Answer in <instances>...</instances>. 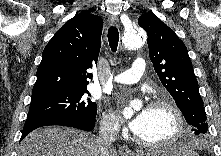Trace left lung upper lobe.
I'll return each mask as SVG.
<instances>
[{
    "label": "left lung upper lobe",
    "instance_id": "left-lung-upper-lobe-1",
    "mask_svg": "<svg viewBox=\"0 0 221 156\" xmlns=\"http://www.w3.org/2000/svg\"><path fill=\"white\" fill-rule=\"evenodd\" d=\"M138 24L147 32L149 57L161 83L172 95L195 134L206 133V113L185 44L158 17L145 13Z\"/></svg>",
    "mask_w": 221,
    "mask_h": 156
}]
</instances>
